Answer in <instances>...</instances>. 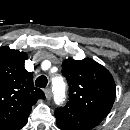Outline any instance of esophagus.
Here are the masks:
<instances>
[{"instance_id": "34e87169", "label": "esophagus", "mask_w": 130, "mask_h": 130, "mask_svg": "<svg viewBox=\"0 0 130 130\" xmlns=\"http://www.w3.org/2000/svg\"><path fill=\"white\" fill-rule=\"evenodd\" d=\"M44 93H45L46 99H47V100H50L51 97H52V93H51L50 88H46V89L44 90Z\"/></svg>"}]
</instances>
